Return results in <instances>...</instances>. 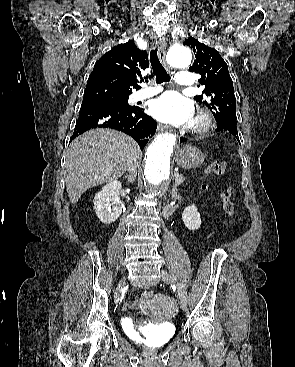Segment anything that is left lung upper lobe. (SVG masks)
Returning <instances> with one entry per match:
<instances>
[{
	"instance_id": "left-lung-upper-lobe-1",
	"label": "left lung upper lobe",
	"mask_w": 295,
	"mask_h": 367,
	"mask_svg": "<svg viewBox=\"0 0 295 367\" xmlns=\"http://www.w3.org/2000/svg\"><path fill=\"white\" fill-rule=\"evenodd\" d=\"M183 44L192 48L196 54L189 71L200 74L199 82L205 85L203 92L206 96L199 95L194 99L212 112L217 124H236V98L227 64L215 49L193 37L186 39Z\"/></svg>"
}]
</instances>
